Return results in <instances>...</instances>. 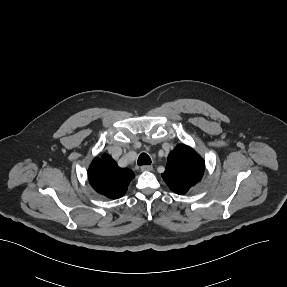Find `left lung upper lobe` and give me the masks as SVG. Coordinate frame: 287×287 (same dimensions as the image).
<instances>
[{
  "label": "left lung upper lobe",
  "mask_w": 287,
  "mask_h": 287,
  "mask_svg": "<svg viewBox=\"0 0 287 287\" xmlns=\"http://www.w3.org/2000/svg\"><path fill=\"white\" fill-rule=\"evenodd\" d=\"M204 169V160L191 147L181 144L169 154L161 176L172 191L185 194L201 180Z\"/></svg>",
  "instance_id": "left-lung-upper-lobe-1"
}]
</instances>
